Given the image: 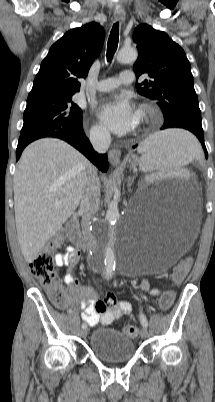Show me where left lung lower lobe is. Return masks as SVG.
I'll return each mask as SVG.
<instances>
[{
    "label": "left lung lower lobe",
    "mask_w": 215,
    "mask_h": 402,
    "mask_svg": "<svg viewBox=\"0 0 215 402\" xmlns=\"http://www.w3.org/2000/svg\"><path fill=\"white\" fill-rule=\"evenodd\" d=\"M167 128H183V129L191 131L193 134H195L197 136V138L201 142L202 147L205 152V156H206V158L208 157L207 150H206V147L204 144V133H203L202 125H199V124H196L193 122H189L186 120H182V119H172L169 121H165L161 127V130L167 129ZM134 147H136V146H134Z\"/></svg>",
    "instance_id": "0a47b994"
}]
</instances>
